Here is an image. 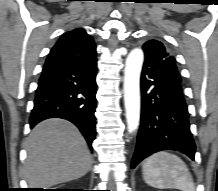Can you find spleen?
<instances>
[{"label":"spleen","instance_id":"1","mask_svg":"<svg viewBox=\"0 0 218 191\" xmlns=\"http://www.w3.org/2000/svg\"><path fill=\"white\" fill-rule=\"evenodd\" d=\"M145 182L159 189L195 191V184L186 164L166 151L148 157L142 166Z\"/></svg>","mask_w":218,"mask_h":191}]
</instances>
